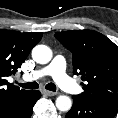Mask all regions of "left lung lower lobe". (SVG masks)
<instances>
[{
	"label": "left lung lower lobe",
	"instance_id": "obj_1",
	"mask_svg": "<svg viewBox=\"0 0 118 118\" xmlns=\"http://www.w3.org/2000/svg\"><path fill=\"white\" fill-rule=\"evenodd\" d=\"M73 106L66 118H113L118 107L96 101L85 100L78 95L72 96Z\"/></svg>",
	"mask_w": 118,
	"mask_h": 118
}]
</instances>
